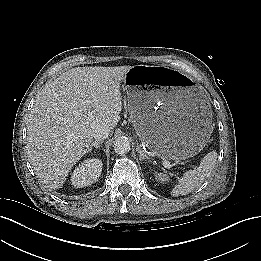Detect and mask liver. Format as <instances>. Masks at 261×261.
I'll use <instances>...</instances> for the list:
<instances>
[{
    "instance_id": "liver-1",
    "label": "liver",
    "mask_w": 261,
    "mask_h": 261,
    "mask_svg": "<svg viewBox=\"0 0 261 261\" xmlns=\"http://www.w3.org/2000/svg\"><path fill=\"white\" fill-rule=\"evenodd\" d=\"M132 66L76 67L38 93L27 125V153L49 189L60 188L87 152L93 129H114L120 120V84Z\"/></svg>"
}]
</instances>
